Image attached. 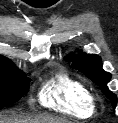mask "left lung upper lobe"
Here are the masks:
<instances>
[{
    "instance_id": "5c2ea615",
    "label": "left lung upper lobe",
    "mask_w": 118,
    "mask_h": 123,
    "mask_svg": "<svg viewBox=\"0 0 118 123\" xmlns=\"http://www.w3.org/2000/svg\"><path fill=\"white\" fill-rule=\"evenodd\" d=\"M65 59L72 61L74 69L81 71L96 85L101 87L103 93L110 99L112 106L116 107L117 97L107 87L111 74L102 69L101 58L99 56L80 52L77 55L66 56Z\"/></svg>"
}]
</instances>
